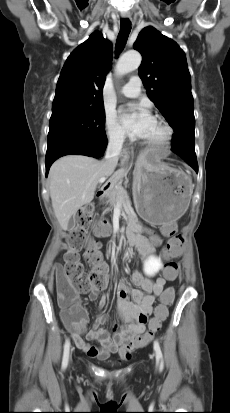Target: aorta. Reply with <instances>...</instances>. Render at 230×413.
<instances>
[{"label":"aorta","instance_id":"obj_1","mask_svg":"<svg viewBox=\"0 0 230 413\" xmlns=\"http://www.w3.org/2000/svg\"><path fill=\"white\" fill-rule=\"evenodd\" d=\"M142 57L137 51L126 52L117 62L115 71L117 75H125L141 64Z\"/></svg>","mask_w":230,"mask_h":413}]
</instances>
